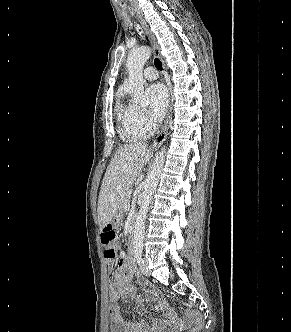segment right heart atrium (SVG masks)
I'll list each match as a JSON object with an SVG mask.
<instances>
[{
    "label": "right heart atrium",
    "mask_w": 291,
    "mask_h": 332,
    "mask_svg": "<svg viewBox=\"0 0 291 332\" xmlns=\"http://www.w3.org/2000/svg\"><path fill=\"white\" fill-rule=\"evenodd\" d=\"M136 124L139 128L145 131H149L152 128V123L148 119L145 111L142 109H137Z\"/></svg>",
    "instance_id": "right-heart-atrium-1"
}]
</instances>
